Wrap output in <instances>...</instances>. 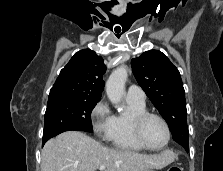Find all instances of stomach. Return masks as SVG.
Here are the masks:
<instances>
[{
    "mask_svg": "<svg viewBox=\"0 0 223 171\" xmlns=\"http://www.w3.org/2000/svg\"><path fill=\"white\" fill-rule=\"evenodd\" d=\"M146 171H154L153 169H148V170H146Z\"/></svg>",
    "mask_w": 223,
    "mask_h": 171,
    "instance_id": "stomach-1",
    "label": "stomach"
}]
</instances>
